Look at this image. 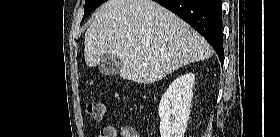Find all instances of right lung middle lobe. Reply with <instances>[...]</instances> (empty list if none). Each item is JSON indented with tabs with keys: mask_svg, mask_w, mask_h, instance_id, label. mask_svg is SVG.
I'll use <instances>...</instances> for the list:
<instances>
[{
	"mask_svg": "<svg viewBox=\"0 0 280 137\" xmlns=\"http://www.w3.org/2000/svg\"><path fill=\"white\" fill-rule=\"evenodd\" d=\"M105 1L106 0H86L85 1V11H84V16H83L82 22L94 9H96L99 5H101Z\"/></svg>",
	"mask_w": 280,
	"mask_h": 137,
	"instance_id": "1",
	"label": "right lung middle lobe"
}]
</instances>
